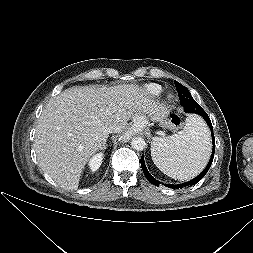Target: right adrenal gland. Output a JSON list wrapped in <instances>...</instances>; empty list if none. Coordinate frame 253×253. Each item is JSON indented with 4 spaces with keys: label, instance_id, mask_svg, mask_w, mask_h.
<instances>
[{
    "label": "right adrenal gland",
    "instance_id": "1",
    "mask_svg": "<svg viewBox=\"0 0 253 253\" xmlns=\"http://www.w3.org/2000/svg\"><path fill=\"white\" fill-rule=\"evenodd\" d=\"M106 147H107V144H106V142H105V143L103 144V146H102V150H105Z\"/></svg>",
    "mask_w": 253,
    "mask_h": 253
}]
</instances>
